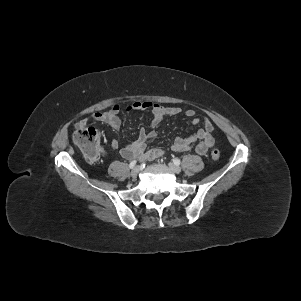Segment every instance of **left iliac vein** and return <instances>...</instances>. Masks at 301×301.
I'll use <instances>...</instances> for the list:
<instances>
[{
  "label": "left iliac vein",
  "mask_w": 301,
  "mask_h": 301,
  "mask_svg": "<svg viewBox=\"0 0 301 301\" xmlns=\"http://www.w3.org/2000/svg\"><path fill=\"white\" fill-rule=\"evenodd\" d=\"M169 167L170 169L174 172V173H177L179 174L181 172V167L179 165H176L175 163L173 162H170L169 163Z\"/></svg>",
  "instance_id": "1"
}]
</instances>
